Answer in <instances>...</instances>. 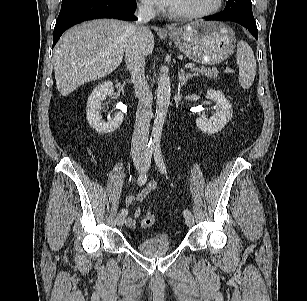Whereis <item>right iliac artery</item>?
<instances>
[{
    "label": "right iliac artery",
    "mask_w": 307,
    "mask_h": 301,
    "mask_svg": "<svg viewBox=\"0 0 307 301\" xmlns=\"http://www.w3.org/2000/svg\"><path fill=\"white\" fill-rule=\"evenodd\" d=\"M153 150L154 148L152 146H148L144 153V168L142 169L138 177V180H137V184L140 186L144 185L147 181V171L151 163V157H152ZM121 214L126 216L128 214L127 209H122Z\"/></svg>",
    "instance_id": "obj_1"
}]
</instances>
